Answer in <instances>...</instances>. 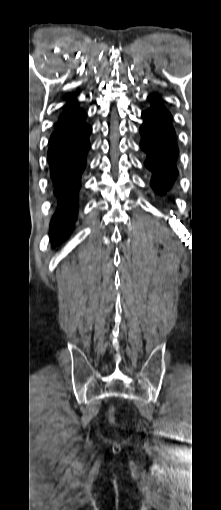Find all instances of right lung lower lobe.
Listing matches in <instances>:
<instances>
[{
    "label": "right lung lower lobe",
    "mask_w": 221,
    "mask_h": 510,
    "mask_svg": "<svg viewBox=\"0 0 221 510\" xmlns=\"http://www.w3.org/2000/svg\"><path fill=\"white\" fill-rule=\"evenodd\" d=\"M91 132L92 127L83 122L68 132L52 134L49 139L47 157L58 203L51 222L53 245L65 240L73 227L77 215L80 178L86 166Z\"/></svg>",
    "instance_id": "right-lung-lower-lobe-1"
}]
</instances>
